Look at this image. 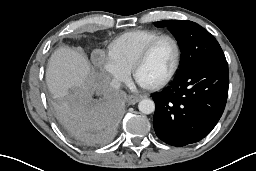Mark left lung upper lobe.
<instances>
[{"label": "left lung upper lobe", "mask_w": 256, "mask_h": 171, "mask_svg": "<svg viewBox=\"0 0 256 171\" xmlns=\"http://www.w3.org/2000/svg\"><path fill=\"white\" fill-rule=\"evenodd\" d=\"M154 25L167 27L177 39L182 53L178 73L198 63L226 60L216 39L197 23L166 20L154 22Z\"/></svg>", "instance_id": "left-lung-upper-lobe-1"}]
</instances>
